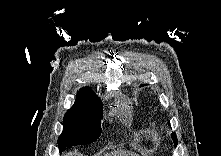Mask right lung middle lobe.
<instances>
[{"label": "right lung middle lobe", "mask_w": 221, "mask_h": 156, "mask_svg": "<svg viewBox=\"0 0 221 156\" xmlns=\"http://www.w3.org/2000/svg\"><path fill=\"white\" fill-rule=\"evenodd\" d=\"M102 106L70 108L63 120V132L58 138L60 153L67 147L92 143L101 135Z\"/></svg>", "instance_id": "right-lung-middle-lobe-1"}]
</instances>
